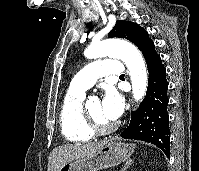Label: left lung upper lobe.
<instances>
[{
  "mask_svg": "<svg viewBox=\"0 0 199 171\" xmlns=\"http://www.w3.org/2000/svg\"><path fill=\"white\" fill-rule=\"evenodd\" d=\"M108 37L125 38L134 43L140 50L151 41L147 31L138 24L128 21H117Z\"/></svg>",
  "mask_w": 199,
  "mask_h": 171,
  "instance_id": "obj_1",
  "label": "left lung upper lobe"
}]
</instances>
